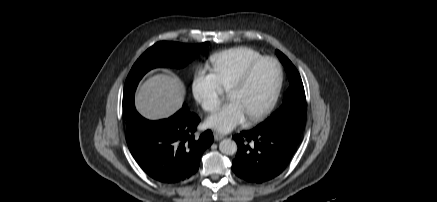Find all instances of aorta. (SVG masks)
Returning a JSON list of instances; mask_svg holds the SVG:
<instances>
[{
  "label": "aorta",
  "instance_id": "1",
  "mask_svg": "<svg viewBox=\"0 0 437 202\" xmlns=\"http://www.w3.org/2000/svg\"><path fill=\"white\" fill-rule=\"evenodd\" d=\"M219 150L226 155H233L237 151V144L231 139H224L219 144Z\"/></svg>",
  "mask_w": 437,
  "mask_h": 202
}]
</instances>
